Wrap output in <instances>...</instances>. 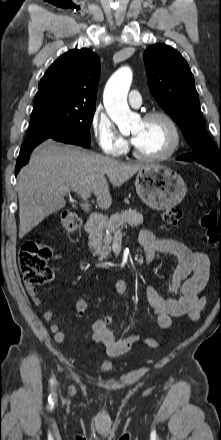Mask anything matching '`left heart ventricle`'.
<instances>
[{
	"label": "left heart ventricle",
	"mask_w": 221,
	"mask_h": 440,
	"mask_svg": "<svg viewBox=\"0 0 221 440\" xmlns=\"http://www.w3.org/2000/svg\"><path fill=\"white\" fill-rule=\"evenodd\" d=\"M130 133L137 138L135 143L137 149L148 155L162 153L171 143V130L161 118L139 120Z\"/></svg>",
	"instance_id": "left-heart-ventricle-1"
}]
</instances>
